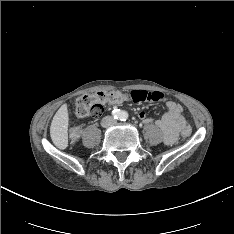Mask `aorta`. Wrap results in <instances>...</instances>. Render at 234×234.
Returning a JSON list of instances; mask_svg holds the SVG:
<instances>
[{"label": "aorta", "instance_id": "762f6f07", "mask_svg": "<svg viewBox=\"0 0 234 234\" xmlns=\"http://www.w3.org/2000/svg\"><path fill=\"white\" fill-rule=\"evenodd\" d=\"M118 117L119 119L124 120L128 117V114L125 111H120Z\"/></svg>", "mask_w": 234, "mask_h": 234}]
</instances>
